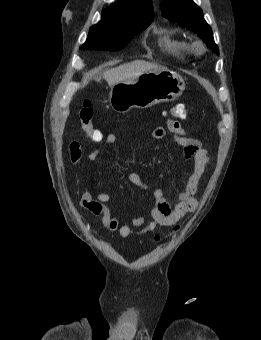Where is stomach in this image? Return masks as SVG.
I'll use <instances>...</instances> for the list:
<instances>
[{"label":"stomach","instance_id":"0dacf381","mask_svg":"<svg viewBox=\"0 0 261 340\" xmlns=\"http://www.w3.org/2000/svg\"><path fill=\"white\" fill-rule=\"evenodd\" d=\"M185 89L180 75L170 70L148 71L111 87L110 105L116 112L148 108L178 98Z\"/></svg>","mask_w":261,"mask_h":340}]
</instances>
